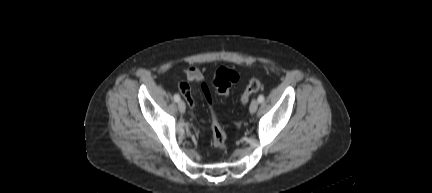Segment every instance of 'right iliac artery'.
<instances>
[{
  "mask_svg": "<svg viewBox=\"0 0 432 193\" xmlns=\"http://www.w3.org/2000/svg\"><path fill=\"white\" fill-rule=\"evenodd\" d=\"M174 100L175 102H179L180 101V96L178 94L174 95Z\"/></svg>",
  "mask_w": 432,
  "mask_h": 193,
  "instance_id": "82829eb1",
  "label": "right iliac artery"
}]
</instances>
